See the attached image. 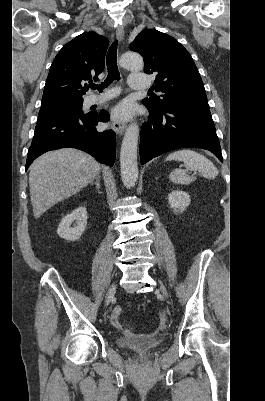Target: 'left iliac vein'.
<instances>
[{
    "label": "left iliac vein",
    "instance_id": "left-iliac-vein-1",
    "mask_svg": "<svg viewBox=\"0 0 265 401\" xmlns=\"http://www.w3.org/2000/svg\"><path fill=\"white\" fill-rule=\"evenodd\" d=\"M160 291L164 295L165 299L168 300L169 299L168 292L164 286H160Z\"/></svg>",
    "mask_w": 265,
    "mask_h": 401
}]
</instances>
